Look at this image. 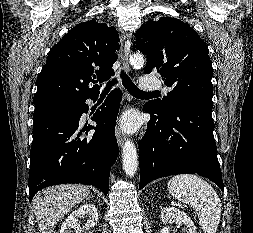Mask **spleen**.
Segmentation results:
<instances>
[{
  "mask_svg": "<svg viewBox=\"0 0 253 233\" xmlns=\"http://www.w3.org/2000/svg\"><path fill=\"white\" fill-rule=\"evenodd\" d=\"M167 188L172 196L195 209L204 233H216L221 201L208 182L196 175L181 174L171 178Z\"/></svg>",
  "mask_w": 253,
  "mask_h": 233,
  "instance_id": "spleen-1",
  "label": "spleen"
}]
</instances>
